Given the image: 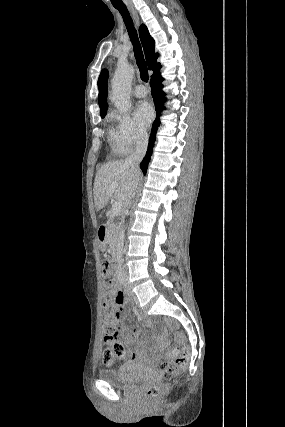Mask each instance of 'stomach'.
I'll return each instance as SVG.
<instances>
[{
    "instance_id": "obj_1",
    "label": "stomach",
    "mask_w": 285,
    "mask_h": 427,
    "mask_svg": "<svg viewBox=\"0 0 285 427\" xmlns=\"http://www.w3.org/2000/svg\"><path fill=\"white\" fill-rule=\"evenodd\" d=\"M105 247V243H101V248H104Z\"/></svg>"
}]
</instances>
